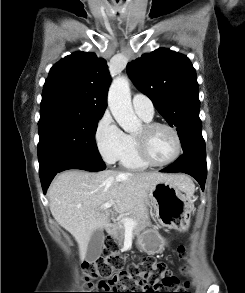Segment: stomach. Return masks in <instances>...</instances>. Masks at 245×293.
I'll return each mask as SVG.
<instances>
[{
    "label": "stomach",
    "mask_w": 245,
    "mask_h": 293,
    "mask_svg": "<svg viewBox=\"0 0 245 293\" xmlns=\"http://www.w3.org/2000/svg\"><path fill=\"white\" fill-rule=\"evenodd\" d=\"M175 183H155L149 190V201L154 216L160 225L168 228H183L188 225L193 209L190 195ZM138 247L147 254L158 253L163 247L162 236L154 229L143 231L137 238Z\"/></svg>",
    "instance_id": "0dacf381"
}]
</instances>
